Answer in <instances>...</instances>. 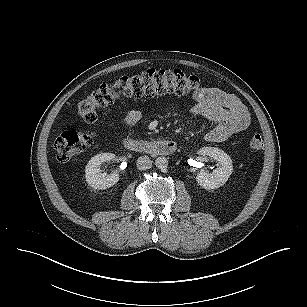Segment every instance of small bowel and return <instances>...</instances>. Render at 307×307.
<instances>
[{
  "instance_id": "c3829d8e",
  "label": "small bowel",
  "mask_w": 307,
  "mask_h": 307,
  "mask_svg": "<svg viewBox=\"0 0 307 307\" xmlns=\"http://www.w3.org/2000/svg\"><path fill=\"white\" fill-rule=\"evenodd\" d=\"M192 99L195 101L192 113L206 117L212 124L205 135L208 142H223L246 129L250 123L248 109L233 94L217 88L200 87L193 93ZM140 119V112L129 111L122 120V126L132 132Z\"/></svg>"
}]
</instances>
